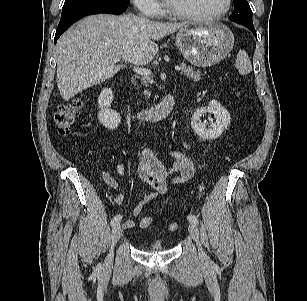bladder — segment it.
Here are the masks:
<instances>
[{
	"label": "bladder",
	"instance_id": "31cf9c89",
	"mask_svg": "<svg viewBox=\"0 0 307 301\" xmlns=\"http://www.w3.org/2000/svg\"><path fill=\"white\" fill-rule=\"evenodd\" d=\"M164 249V246L162 244V242L160 240H155L154 242H152L148 248L147 251L149 252H160Z\"/></svg>",
	"mask_w": 307,
	"mask_h": 301
}]
</instances>
